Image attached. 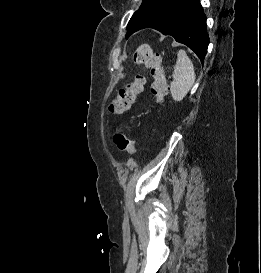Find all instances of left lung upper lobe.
Wrapping results in <instances>:
<instances>
[{
	"mask_svg": "<svg viewBox=\"0 0 261 273\" xmlns=\"http://www.w3.org/2000/svg\"><path fill=\"white\" fill-rule=\"evenodd\" d=\"M167 0H143L140 8L131 17L127 28H130L133 23H135L140 17L145 15L148 11L154 7L166 2Z\"/></svg>",
	"mask_w": 261,
	"mask_h": 273,
	"instance_id": "1",
	"label": "left lung upper lobe"
}]
</instances>
